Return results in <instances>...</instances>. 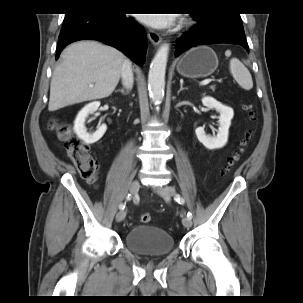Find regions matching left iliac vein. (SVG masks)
Segmentation results:
<instances>
[{
	"label": "left iliac vein",
	"instance_id": "obj_1",
	"mask_svg": "<svg viewBox=\"0 0 303 303\" xmlns=\"http://www.w3.org/2000/svg\"><path fill=\"white\" fill-rule=\"evenodd\" d=\"M160 196H162L167 202L170 201L171 196L175 194V188L172 186H164L157 190ZM182 224L186 228H190L192 226V220L189 217H184L182 219Z\"/></svg>",
	"mask_w": 303,
	"mask_h": 303
}]
</instances>
